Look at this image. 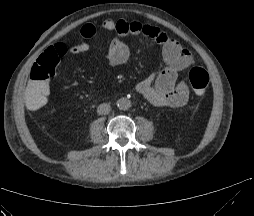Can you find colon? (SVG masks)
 <instances>
[{"instance_id": "obj_1", "label": "colon", "mask_w": 254, "mask_h": 216, "mask_svg": "<svg viewBox=\"0 0 254 216\" xmlns=\"http://www.w3.org/2000/svg\"><path fill=\"white\" fill-rule=\"evenodd\" d=\"M57 48L55 51L47 49L31 68L30 78L23 87V104L30 111H39L48 103L49 79L54 77L58 70L64 47L59 45ZM189 81L195 93L202 95L208 86V72L195 65L189 71Z\"/></svg>"}]
</instances>
